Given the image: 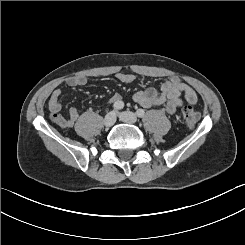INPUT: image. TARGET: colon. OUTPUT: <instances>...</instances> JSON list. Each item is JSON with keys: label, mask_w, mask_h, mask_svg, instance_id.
I'll return each mask as SVG.
<instances>
[{"label": "colon", "mask_w": 245, "mask_h": 245, "mask_svg": "<svg viewBox=\"0 0 245 245\" xmlns=\"http://www.w3.org/2000/svg\"><path fill=\"white\" fill-rule=\"evenodd\" d=\"M182 117L185 125L192 127L198 122L200 114L190 105H185L182 111Z\"/></svg>", "instance_id": "colon-1"}]
</instances>
